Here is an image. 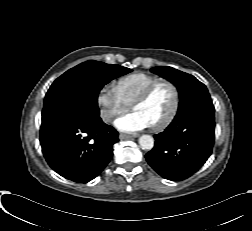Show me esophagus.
I'll return each mask as SVG.
<instances>
[{
	"label": "esophagus",
	"instance_id": "1",
	"mask_svg": "<svg viewBox=\"0 0 252 231\" xmlns=\"http://www.w3.org/2000/svg\"><path fill=\"white\" fill-rule=\"evenodd\" d=\"M136 137V135H128V134H124V133H120L119 134V139L124 140V139H131Z\"/></svg>",
	"mask_w": 252,
	"mask_h": 231
}]
</instances>
